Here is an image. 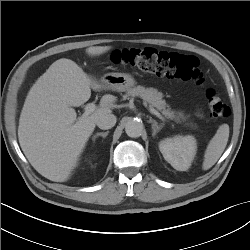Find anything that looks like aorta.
Instances as JSON below:
<instances>
[{"label": "aorta", "instance_id": "aorta-1", "mask_svg": "<svg viewBox=\"0 0 250 250\" xmlns=\"http://www.w3.org/2000/svg\"><path fill=\"white\" fill-rule=\"evenodd\" d=\"M143 131V124L135 119H130L125 124V132L129 137L137 138L141 136Z\"/></svg>", "mask_w": 250, "mask_h": 250}]
</instances>
